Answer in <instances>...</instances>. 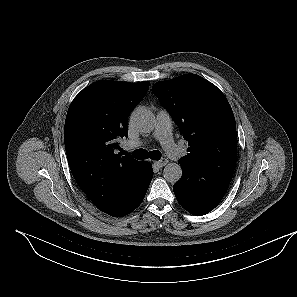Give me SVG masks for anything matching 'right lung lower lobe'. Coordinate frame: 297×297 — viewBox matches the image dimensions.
<instances>
[{
    "instance_id": "obj_1",
    "label": "right lung lower lobe",
    "mask_w": 297,
    "mask_h": 297,
    "mask_svg": "<svg viewBox=\"0 0 297 297\" xmlns=\"http://www.w3.org/2000/svg\"><path fill=\"white\" fill-rule=\"evenodd\" d=\"M144 163L145 174L131 188L128 194L122 199L120 204L107 212V214L113 217H122L131 213L142 203L153 177L151 164L145 161Z\"/></svg>"
}]
</instances>
